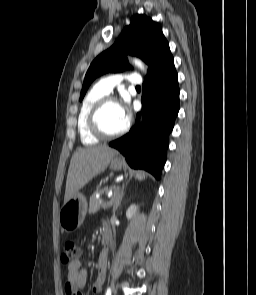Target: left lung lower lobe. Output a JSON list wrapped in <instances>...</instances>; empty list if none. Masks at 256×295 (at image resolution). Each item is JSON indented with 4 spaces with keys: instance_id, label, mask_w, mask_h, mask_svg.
Segmentation results:
<instances>
[{
    "instance_id": "left-lung-lower-lobe-1",
    "label": "left lung lower lobe",
    "mask_w": 256,
    "mask_h": 295,
    "mask_svg": "<svg viewBox=\"0 0 256 295\" xmlns=\"http://www.w3.org/2000/svg\"><path fill=\"white\" fill-rule=\"evenodd\" d=\"M142 102L145 103L143 122L126 135L109 143L119 150L128 164L160 177L166 161L168 136L179 111V86L174 63L147 77L143 85Z\"/></svg>"
}]
</instances>
